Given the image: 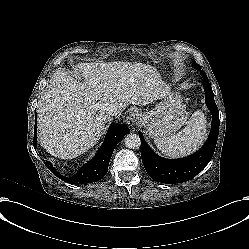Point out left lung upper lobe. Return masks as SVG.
I'll use <instances>...</instances> for the list:
<instances>
[{
    "label": "left lung upper lobe",
    "instance_id": "5c2ea615",
    "mask_svg": "<svg viewBox=\"0 0 249 249\" xmlns=\"http://www.w3.org/2000/svg\"><path fill=\"white\" fill-rule=\"evenodd\" d=\"M194 66H195L199 71H201V68H200L197 64H195ZM201 74H202V76H205V75H206L204 71H201Z\"/></svg>",
    "mask_w": 249,
    "mask_h": 249
}]
</instances>
